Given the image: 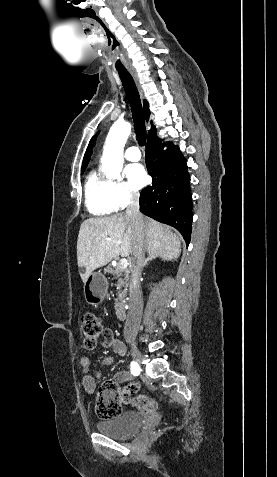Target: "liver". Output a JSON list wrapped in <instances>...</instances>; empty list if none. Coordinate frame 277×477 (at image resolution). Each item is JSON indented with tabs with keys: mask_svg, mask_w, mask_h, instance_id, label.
<instances>
[{
	"mask_svg": "<svg viewBox=\"0 0 277 477\" xmlns=\"http://www.w3.org/2000/svg\"><path fill=\"white\" fill-rule=\"evenodd\" d=\"M145 249L163 260H175L181 253V238L171 228L151 218L143 217ZM133 252L131 219L123 213L107 217L89 218L79 230L77 261L83 282L97 268L108 264L117 256H129Z\"/></svg>",
	"mask_w": 277,
	"mask_h": 477,
	"instance_id": "6515ba94",
	"label": "liver"
}]
</instances>
